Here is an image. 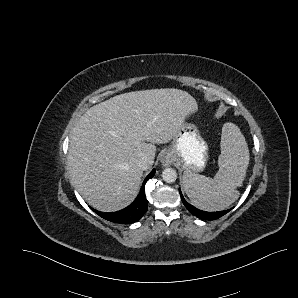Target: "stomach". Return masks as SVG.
I'll list each match as a JSON object with an SVG mask.
<instances>
[{"mask_svg":"<svg viewBox=\"0 0 298 298\" xmlns=\"http://www.w3.org/2000/svg\"><path fill=\"white\" fill-rule=\"evenodd\" d=\"M167 153L183 170L198 173L204 171L207 166L209 145L197 125L185 120L161 157ZM183 187H185L184 181Z\"/></svg>","mask_w":298,"mask_h":298,"instance_id":"0dacf381","label":"stomach"}]
</instances>
